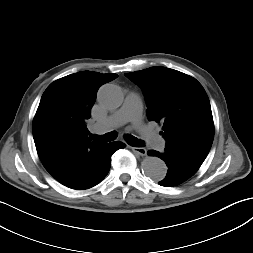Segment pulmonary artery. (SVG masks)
I'll return each mask as SVG.
<instances>
[{
    "label": "pulmonary artery",
    "mask_w": 253,
    "mask_h": 253,
    "mask_svg": "<svg viewBox=\"0 0 253 253\" xmlns=\"http://www.w3.org/2000/svg\"><path fill=\"white\" fill-rule=\"evenodd\" d=\"M142 113V102L140 97L135 93L127 95L122 107L110 115L103 121L96 123L93 126L95 132H100L105 129L120 126L126 122H133L139 124ZM143 136L147 144L156 150H162L165 146V140L154 132L142 128Z\"/></svg>",
    "instance_id": "1"
}]
</instances>
